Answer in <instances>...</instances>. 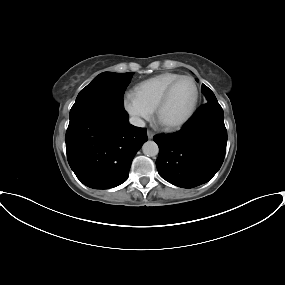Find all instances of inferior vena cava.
Instances as JSON below:
<instances>
[{
	"instance_id": "inferior-vena-cava-1",
	"label": "inferior vena cava",
	"mask_w": 285,
	"mask_h": 285,
	"mask_svg": "<svg viewBox=\"0 0 285 285\" xmlns=\"http://www.w3.org/2000/svg\"><path fill=\"white\" fill-rule=\"evenodd\" d=\"M130 124L137 126V127H145V122L138 118V117H131L129 119Z\"/></svg>"
}]
</instances>
